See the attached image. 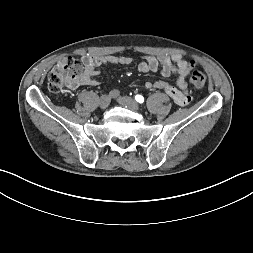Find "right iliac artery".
Masks as SVG:
<instances>
[{"instance_id": "right-iliac-artery-1", "label": "right iliac artery", "mask_w": 253, "mask_h": 253, "mask_svg": "<svg viewBox=\"0 0 253 253\" xmlns=\"http://www.w3.org/2000/svg\"><path fill=\"white\" fill-rule=\"evenodd\" d=\"M119 95H120V92L116 89L111 90L109 92V97H111V98H117Z\"/></svg>"}]
</instances>
